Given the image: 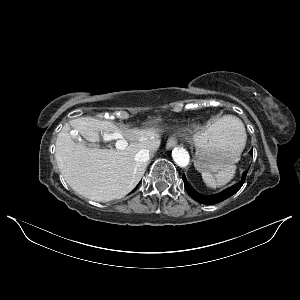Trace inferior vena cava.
<instances>
[{
  "instance_id": "602c4592",
  "label": "inferior vena cava",
  "mask_w": 300,
  "mask_h": 300,
  "mask_svg": "<svg viewBox=\"0 0 300 300\" xmlns=\"http://www.w3.org/2000/svg\"><path fill=\"white\" fill-rule=\"evenodd\" d=\"M159 145H160V141H157L156 147H155L156 150L158 149ZM149 154H150V151L148 149H141L140 151H138L135 154L134 159L136 162H140V163L147 162L150 158Z\"/></svg>"
}]
</instances>
